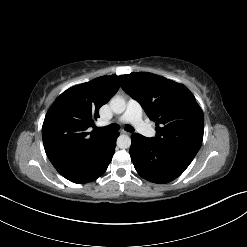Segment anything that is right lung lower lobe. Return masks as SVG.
Wrapping results in <instances>:
<instances>
[{"instance_id":"1","label":"right lung lower lobe","mask_w":247,"mask_h":247,"mask_svg":"<svg viewBox=\"0 0 247 247\" xmlns=\"http://www.w3.org/2000/svg\"><path fill=\"white\" fill-rule=\"evenodd\" d=\"M118 136V132L110 133L88 157L75 164L58 168L57 171L73 183H87L97 179L106 171L112 160Z\"/></svg>"}]
</instances>
